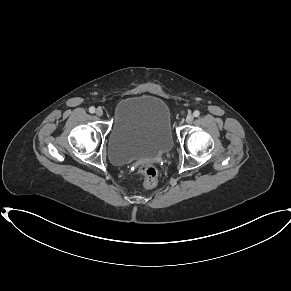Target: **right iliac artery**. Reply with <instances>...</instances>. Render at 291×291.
Listing matches in <instances>:
<instances>
[{
    "label": "right iliac artery",
    "mask_w": 291,
    "mask_h": 291,
    "mask_svg": "<svg viewBox=\"0 0 291 291\" xmlns=\"http://www.w3.org/2000/svg\"><path fill=\"white\" fill-rule=\"evenodd\" d=\"M89 112H90V113H94V112H95V108H94V107H90V108H89Z\"/></svg>",
    "instance_id": "82829eb1"
}]
</instances>
